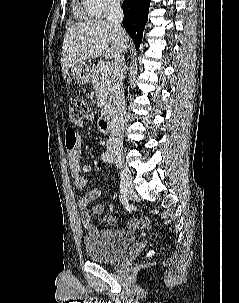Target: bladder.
Here are the masks:
<instances>
[{"instance_id": "obj_1", "label": "bladder", "mask_w": 239, "mask_h": 303, "mask_svg": "<svg viewBox=\"0 0 239 303\" xmlns=\"http://www.w3.org/2000/svg\"><path fill=\"white\" fill-rule=\"evenodd\" d=\"M132 240H94L89 237L84 238L83 245L85 251L92 261L109 263L122 258L128 251Z\"/></svg>"}]
</instances>
